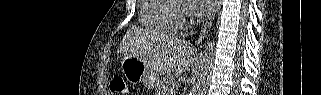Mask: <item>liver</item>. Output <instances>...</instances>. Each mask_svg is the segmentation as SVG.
<instances>
[{"label": "liver", "instance_id": "liver-1", "mask_svg": "<svg viewBox=\"0 0 321 95\" xmlns=\"http://www.w3.org/2000/svg\"><path fill=\"white\" fill-rule=\"evenodd\" d=\"M150 38L153 41L149 42ZM118 53L140 59L157 73L181 74L191 66L196 51L186 41L173 36L152 35L142 28H131Z\"/></svg>", "mask_w": 321, "mask_h": 95}]
</instances>
